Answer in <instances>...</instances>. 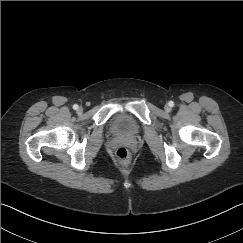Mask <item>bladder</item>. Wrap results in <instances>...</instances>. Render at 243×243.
<instances>
[{
    "label": "bladder",
    "mask_w": 243,
    "mask_h": 243,
    "mask_svg": "<svg viewBox=\"0 0 243 243\" xmlns=\"http://www.w3.org/2000/svg\"><path fill=\"white\" fill-rule=\"evenodd\" d=\"M109 130L116 137H134L141 132V126L130 114L117 112L109 120Z\"/></svg>",
    "instance_id": "bladder-1"
}]
</instances>
